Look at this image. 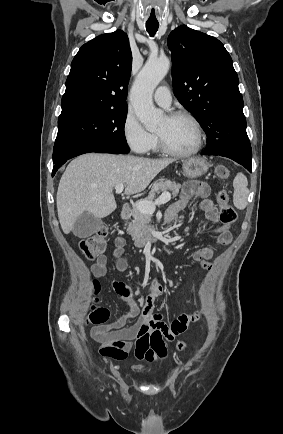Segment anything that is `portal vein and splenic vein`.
I'll use <instances>...</instances> for the list:
<instances>
[{"label": "portal vein and splenic vein", "instance_id": "portal-vein-and-splenic-vein-1", "mask_svg": "<svg viewBox=\"0 0 283 434\" xmlns=\"http://www.w3.org/2000/svg\"><path fill=\"white\" fill-rule=\"evenodd\" d=\"M124 190L123 184H118L115 186V191L120 194ZM171 199V194L169 192H164L159 198L152 201H139L135 204L136 208L143 213L152 214L155 211L156 205H162L169 202Z\"/></svg>", "mask_w": 283, "mask_h": 434}]
</instances>
